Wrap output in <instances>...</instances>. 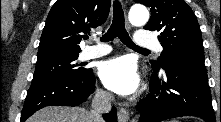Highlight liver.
Masks as SVG:
<instances>
[{
	"instance_id": "6515ba94",
	"label": "liver",
	"mask_w": 221,
	"mask_h": 122,
	"mask_svg": "<svg viewBox=\"0 0 221 122\" xmlns=\"http://www.w3.org/2000/svg\"><path fill=\"white\" fill-rule=\"evenodd\" d=\"M27 122H96L91 111L81 107L48 106L33 114Z\"/></svg>"
}]
</instances>
